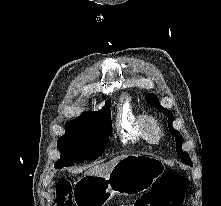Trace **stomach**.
Segmentation results:
<instances>
[{
    "instance_id": "0dacf381",
    "label": "stomach",
    "mask_w": 221,
    "mask_h": 206,
    "mask_svg": "<svg viewBox=\"0 0 221 206\" xmlns=\"http://www.w3.org/2000/svg\"><path fill=\"white\" fill-rule=\"evenodd\" d=\"M161 159L145 155H127L103 177L84 175L79 181L80 206H104L114 195H134L149 189L164 171Z\"/></svg>"
}]
</instances>
